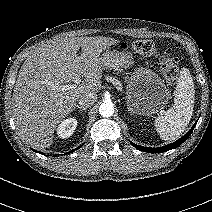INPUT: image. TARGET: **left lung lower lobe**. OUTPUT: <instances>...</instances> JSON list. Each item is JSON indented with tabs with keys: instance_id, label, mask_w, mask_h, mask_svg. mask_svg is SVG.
<instances>
[{
	"instance_id": "1",
	"label": "left lung lower lobe",
	"mask_w": 212,
	"mask_h": 212,
	"mask_svg": "<svg viewBox=\"0 0 212 212\" xmlns=\"http://www.w3.org/2000/svg\"><path fill=\"white\" fill-rule=\"evenodd\" d=\"M196 123L194 124V126L188 131L187 134H185L183 137H181L179 140L171 143V144H168V145H165L163 147H158V148H150V147H143V146H139V145H136L134 143L131 142V144L136 147L137 149L143 151V152H148V153H162V152H166V151H169L171 149H174V148H177L178 146H180L189 136L190 134L192 133L194 127H195Z\"/></svg>"
}]
</instances>
